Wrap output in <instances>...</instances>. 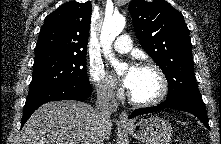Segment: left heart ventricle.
Listing matches in <instances>:
<instances>
[{
  "label": "left heart ventricle",
  "mask_w": 221,
  "mask_h": 144,
  "mask_svg": "<svg viewBox=\"0 0 221 144\" xmlns=\"http://www.w3.org/2000/svg\"><path fill=\"white\" fill-rule=\"evenodd\" d=\"M160 90L158 75L150 69H138L134 86L130 90L132 95L139 100H150Z\"/></svg>",
  "instance_id": "left-heart-ventricle-1"
}]
</instances>
